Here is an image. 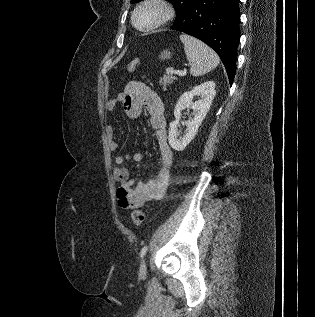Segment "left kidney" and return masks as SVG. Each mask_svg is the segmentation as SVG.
I'll list each match as a JSON object with an SVG mask.
<instances>
[{"label": "left kidney", "instance_id": "1", "mask_svg": "<svg viewBox=\"0 0 315 317\" xmlns=\"http://www.w3.org/2000/svg\"><path fill=\"white\" fill-rule=\"evenodd\" d=\"M215 86L216 85L214 81H207L201 85L193 87L190 91H187L181 95L174 109L175 121L170 123L169 128L168 140L170 146L174 150H184L185 147L195 137L202 121L210 109L216 94ZM195 96H200V99L193 102L192 100ZM184 109H192L193 117L185 123L187 127L186 131L183 136H180L179 132L177 131V127L179 125L181 112Z\"/></svg>", "mask_w": 315, "mask_h": 317}]
</instances>
